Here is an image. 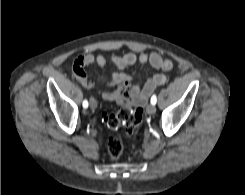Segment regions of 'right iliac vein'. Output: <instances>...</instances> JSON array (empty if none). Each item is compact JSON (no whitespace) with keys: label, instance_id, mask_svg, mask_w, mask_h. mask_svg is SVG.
I'll use <instances>...</instances> for the list:
<instances>
[{"label":"right iliac vein","instance_id":"63e3f726","mask_svg":"<svg viewBox=\"0 0 245 195\" xmlns=\"http://www.w3.org/2000/svg\"><path fill=\"white\" fill-rule=\"evenodd\" d=\"M97 107V102L94 98L90 99V108L95 109Z\"/></svg>","mask_w":245,"mask_h":195}]
</instances>
